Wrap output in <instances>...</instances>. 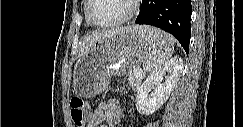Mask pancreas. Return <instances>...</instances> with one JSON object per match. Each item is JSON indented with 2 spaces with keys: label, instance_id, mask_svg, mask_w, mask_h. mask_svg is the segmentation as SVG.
Instances as JSON below:
<instances>
[{
  "label": "pancreas",
  "instance_id": "1",
  "mask_svg": "<svg viewBox=\"0 0 243 127\" xmlns=\"http://www.w3.org/2000/svg\"><path fill=\"white\" fill-rule=\"evenodd\" d=\"M141 80H142L141 75L139 76L134 73L129 74L128 83L132 87V89L136 90L139 87Z\"/></svg>",
  "mask_w": 243,
  "mask_h": 127
}]
</instances>
